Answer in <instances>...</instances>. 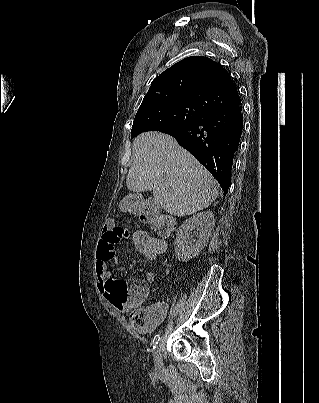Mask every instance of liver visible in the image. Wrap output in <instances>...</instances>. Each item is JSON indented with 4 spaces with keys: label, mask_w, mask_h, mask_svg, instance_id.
<instances>
[{
    "label": "liver",
    "mask_w": 319,
    "mask_h": 403,
    "mask_svg": "<svg viewBox=\"0 0 319 403\" xmlns=\"http://www.w3.org/2000/svg\"><path fill=\"white\" fill-rule=\"evenodd\" d=\"M134 162L126 184L131 192L151 190L169 214L187 216L210 206L218 184L188 151L170 135L144 132L133 141Z\"/></svg>",
    "instance_id": "obj_1"
}]
</instances>
